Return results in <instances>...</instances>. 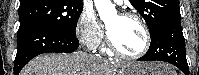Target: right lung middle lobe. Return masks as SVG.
<instances>
[{"label": "right lung middle lobe", "mask_w": 199, "mask_h": 75, "mask_svg": "<svg viewBox=\"0 0 199 75\" xmlns=\"http://www.w3.org/2000/svg\"><path fill=\"white\" fill-rule=\"evenodd\" d=\"M82 10V2L69 0H30L20 3V26L40 24L59 33L76 37V26Z\"/></svg>", "instance_id": "dd1d6c3e"}]
</instances>
